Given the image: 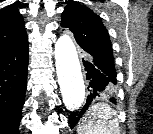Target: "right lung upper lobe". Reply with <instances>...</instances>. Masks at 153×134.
Instances as JSON below:
<instances>
[{
	"instance_id": "1",
	"label": "right lung upper lobe",
	"mask_w": 153,
	"mask_h": 134,
	"mask_svg": "<svg viewBox=\"0 0 153 134\" xmlns=\"http://www.w3.org/2000/svg\"><path fill=\"white\" fill-rule=\"evenodd\" d=\"M27 42L22 15L15 6L0 12V55Z\"/></svg>"
}]
</instances>
